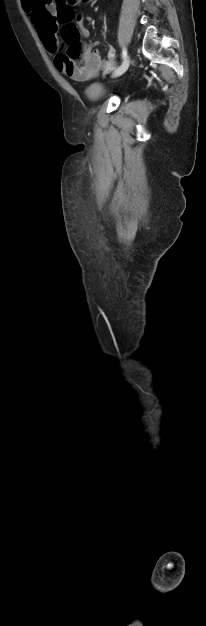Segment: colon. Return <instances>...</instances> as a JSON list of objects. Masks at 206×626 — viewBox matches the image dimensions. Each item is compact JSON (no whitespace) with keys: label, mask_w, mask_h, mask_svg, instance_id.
I'll return each instance as SVG.
<instances>
[{"label":"colon","mask_w":206,"mask_h":626,"mask_svg":"<svg viewBox=\"0 0 206 626\" xmlns=\"http://www.w3.org/2000/svg\"><path fill=\"white\" fill-rule=\"evenodd\" d=\"M91 0H55L60 20L68 22L72 17L70 7L89 3ZM64 42L67 45V59L79 60L82 56L83 46L79 41V32L73 24L67 23L62 31Z\"/></svg>","instance_id":"1"}]
</instances>
